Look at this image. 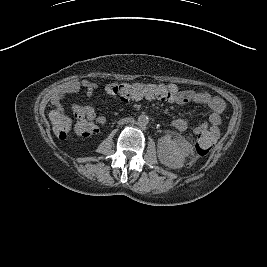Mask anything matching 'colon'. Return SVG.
<instances>
[{"label":"colon","mask_w":267,"mask_h":267,"mask_svg":"<svg viewBox=\"0 0 267 267\" xmlns=\"http://www.w3.org/2000/svg\"><path fill=\"white\" fill-rule=\"evenodd\" d=\"M105 91L110 96L122 100L128 101L131 99L140 98H158L166 101H174L178 97V90L171 85L161 84H143V83H111L105 88ZM77 119L76 124H80L83 127L86 126L85 118L80 110L74 113ZM52 130L56 137L67 138L70 134L73 123L70 117L63 112L58 111L51 118ZM90 131H85L83 135L89 136ZM214 144V139L208 133L199 134L198 142L196 144V153L198 156L203 157L210 153Z\"/></svg>","instance_id":"1"}]
</instances>
